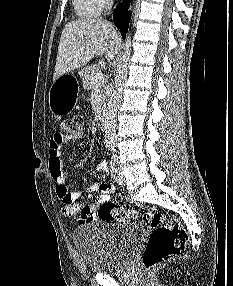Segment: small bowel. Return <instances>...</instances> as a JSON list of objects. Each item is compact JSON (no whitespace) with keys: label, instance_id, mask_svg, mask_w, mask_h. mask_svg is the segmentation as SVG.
Listing matches in <instances>:
<instances>
[{"label":"small bowel","instance_id":"small-bowel-1","mask_svg":"<svg viewBox=\"0 0 233 286\" xmlns=\"http://www.w3.org/2000/svg\"><path fill=\"white\" fill-rule=\"evenodd\" d=\"M70 140L62 139L57 134L53 135L49 146V170L56 184V194L62 203L61 212L64 216L72 217L78 214L80 223L92 222L96 219L94 210L96 205H78L75 202L81 196L80 191L71 190L65 183L63 173L62 146ZM82 144L83 141H78ZM106 163L101 162L98 165L100 171H105ZM115 190V186L109 182H96L91 184L87 191L90 193H99L98 203L106 202Z\"/></svg>","mask_w":233,"mask_h":286}]
</instances>
